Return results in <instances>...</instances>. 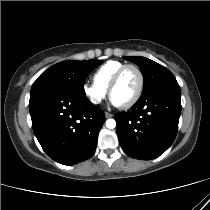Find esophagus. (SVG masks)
I'll return each mask as SVG.
<instances>
[{
  "label": "esophagus",
  "instance_id": "obj_1",
  "mask_svg": "<svg viewBox=\"0 0 210 210\" xmlns=\"http://www.w3.org/2000/svg\"><path fill=\"white\" fill-rule=\"evenodd\" d=\"M113 115L111 113L105 112V117L106 118H111Z\"/></svg>",
  "mask_w": 210,
  "mask_h": 210
}]
</instances>
